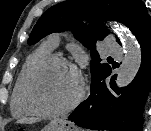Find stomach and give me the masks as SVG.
Listing matches in <instances>:
<instances>
[{
  "mask_svg": "<svg viewBox=\"0 0 151 131\" xmlns=\"http://www.w3.org/2000/svg\"><path fill=\"white\" fill-rule=\"evenodd\" d=\"M42 131H79V129L71 122L54 119Z\"/></svg>",
  "mask_w": 151,
  "mask_h": 131,
  "instance_id": "1",
  "label": "stomach"
}]
</instances>
